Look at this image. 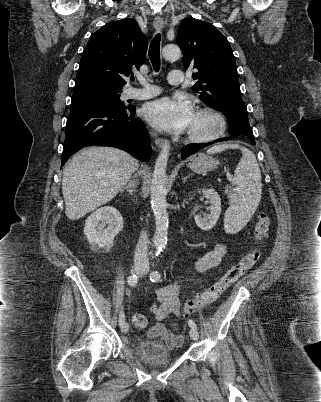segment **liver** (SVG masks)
I'll list each match as a JSON object with an SVG mask.
<instances>
[{
    "label": "liver",
    "instance_id": "6515ba94",
    "mask_svg": "<svg viewBox=\"0 0 321 402\" xmlns=\"http://www.w3.org/2000/svg\"><path fill=\"white\" fill-rule=\"evenodd\" d=\"M139 166L120 149L89 147L73 156L63 170L65 214L77 220L112 200Z\"/></svg>",
    "mask_w": 321,
    "mask_h": 402
}]
</instances>
